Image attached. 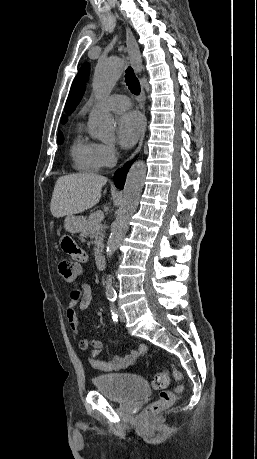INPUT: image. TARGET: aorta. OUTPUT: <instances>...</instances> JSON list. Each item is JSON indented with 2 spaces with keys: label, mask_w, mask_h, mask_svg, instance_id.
<instances>
[{
  "label": "aorta",
  "mask_w": 257,
  "mask_h": 459,
  "mask_svg": "<svg viewBox=\"0 0 257 459\" xmlns=\"http://www.w3.org/2000/svg\"><path fill=\"white\" fill-rule=\"evenodd\" d=\"M122 71L123 66L119 58L114 57L98 63L93 78V90L99 99L109 96ZM88 125L90 134L94 138L102 142L114 140L115 120L106 111L100 108L95 109L90 114ZM146 171V164L143 161H137L131 166L127 174L122 202L116 220L111 226V233L106 245V255L108 257L115 253L128 230L130 217L139 203ZM112 279V276L108 275L105 281V294L107 297L115 295Z\"/></svg>",
  "instance_id": "aorta-1"
}]
</instances>
